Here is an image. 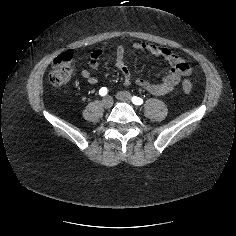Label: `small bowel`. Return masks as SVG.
<instances>
[{
    "label": "small bowel",
    "mask_w": 236,
    "mask_h": 236,
    "mask_svg": "<svg viewBox=\"0 0 236 236\" xmlns=\"http://www.w3.org/2000/svg\"><path fill=\"white\" fill-rule=\"evenodd\" d=\"M132 47L134 50L149 52L155 56L161 57L171 66L169 72L160 82L154 83L143 78H137L135 80L138 86L153 95L162 96L172 92L179 84L180 80L188 76L191 72V67L188 62L167 47L158 46L149 42H136ZM105 52L106 48H99L91 54L89 60L91 69L97 70L99 68L98 61ZM112 56L115 66L123 75L124 84L126 86L131 85L133 77L125 60V48L121 45L116 46ZM81 75L90 85H95L99 81L98 77L93 75L88 69H83Z\"/></svg>",
    "instance_id": "obj_1"
}]
</instances>
